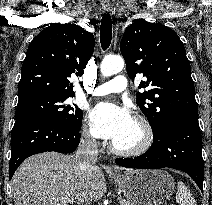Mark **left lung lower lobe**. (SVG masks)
Here are the masks:
<instances>
[{
	"instance_id": "1",
	"label": "left lung lower lobe",
	"mask_w": 212,
	"mask_h": 205,
	"mask_svg": "<svg viewBox=\"0 0 212 205\" xmlns=\"http://www.w3.org/2000/svg\"><path fill=\"white\" fill-rule=\"evenodd\" d=\"M202 139L198 111L176 115L160 136H154L152 146L141 156L116 159L127 168L159 169L163 167L186 172L203 192Z\"/></svg>"
}]
</instances>
